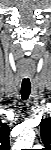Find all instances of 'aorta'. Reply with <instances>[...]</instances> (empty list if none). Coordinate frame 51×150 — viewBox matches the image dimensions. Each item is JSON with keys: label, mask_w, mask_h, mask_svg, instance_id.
<instances>
[{"label": "aorta", "mask_w": 51, "mask_h": 150, "mask_svg": "<svg viewBox=\"0 0 51 150\" xmlns=\"http://www.w3.org/2000/svg\"><path fill=\"white\" fill-rule=\"evenodd\" d=\"M35 140V132L28 130L22 133L15 141L13 150L30 149Z\"/></svg>", "instance_id": "762f6f07"}]
</instances>
